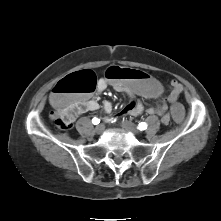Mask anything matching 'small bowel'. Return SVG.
<instances>
[{
    "mask_svg": "<svg viewBox=\"0 0 221 221\" xmlns=\"http://www.w3.org/2000/svg\"><path fill=\"white\" fill-rule=\"evenodd\" d=\"M139 72V71H138ZM109 83L106 81V79L101 78L98 80L96 85V92L98 94L102 93L106 90ZM113 89L117 92L125 93L130 98L131 101L126 105V107L113 119L114 121L118 120L120 117L126 116V115H133L137 116L144 112V107L142 103L135 99V97L138 95L136 94L131 88L128 86L120 83V84H111ZM183 91L182 85L178 81H172L171 82V91L169 96L166 94H161L159 96V101L161 103H166L167 101L172 104L173 102H176L178 98L180 97L181 93ZM140 96V95H139ZM77 104L79 105V109L74 115L73 122L75 119L82 113H85L87 111H96L100 108V105L95 97H93L91 94H84L80 96L77 100ZM103 109L105 112L109 113L112 111V104L109 101H106L103 104ZM148 114H157L161 117V121L163 124H168L170 121L169 116V110L166 105H158L154 108H149L146 111Z\"/></svg>",
    "mask_w": 221,
    "mask_h": 221,
    "instance_id": "1",
    "label": "small bowel"
}]
</instances>
